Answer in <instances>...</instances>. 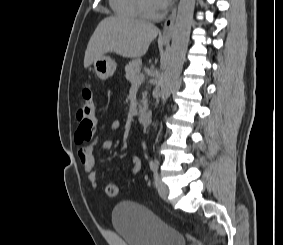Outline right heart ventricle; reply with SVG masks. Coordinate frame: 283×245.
<instances>
[{"label": "right heart ventricle", "mask_w": 283, "mask_h": 245, "mask_svg": "<svg viewBox=\"0 0 283 245\" xmlns=\"http://www.w3.org/2000/svg\"><path fill=\"white\" fill-rule=\"evenodd\" d=\"M112 10L121 16L138 17L140 15L137 0H109Z\"/></svg>", "instance_id": "1"}]
</instances>
